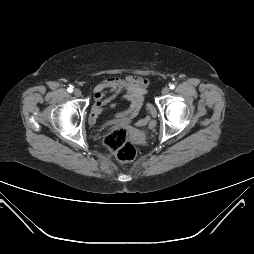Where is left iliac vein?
<instances>
[{
  "label": "left iliac vein",
  "instance_id": "1",
  "mask_svg": "<svg viewBox=\"0 0 254 254\" xmlns=\"http://www.w3.org/2000/svg\"><path fill=\"white\" fill-rule=\"evenodd\" d=\"M169 92H170L169 87H164V88L162 89V94H164V95L168 94Z\"/></svg>",
  "mask_w": 254,
  "mask_h": 254
}]
</instances>
